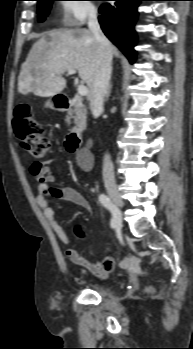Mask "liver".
<instances>
[{
  "label": "liver",
  "instance_id": "liver-1",
  "mask_svg": "<svg viewBox=\"0 0 193 349\" xmlns=\"http://www.w3.org/2000/svg\"><path fill=\"white\" fill-rule=\"evenodd\" d=\"M112 56L118 55L110 43ZM99 43L90 30L60 29L46 32L32 46L18 77V92L53 97L66 87L63 74L75 69L88 88L91 98Z\"/></svg>",
  "mask_w": 193,
  "mask_h": 349
}]
</instances>
